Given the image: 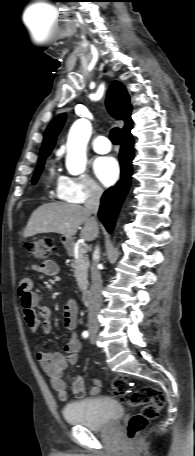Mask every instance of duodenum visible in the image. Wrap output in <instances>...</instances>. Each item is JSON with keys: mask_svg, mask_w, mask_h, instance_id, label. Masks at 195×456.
I'll list each match as a JSON object with an SVG mask.
<instances>
[{"mask_svg": "<svg viewBox=\"0 0 195 456\" xmlns=\"http://www.w3.org/2000/svg\"><path fill=\"white\" fill-rule=\"evenodd\" d=\"M66 245L68 248H72V243L70 241H67ZM90 300H91V293L88 289H86L82 292V301L85 305H88L90 303Z\"/></svg>", "mask_w": 195, "mask_h": 456, "instance_id": "obj_1", "label": "duodenum"}]
</instances>
